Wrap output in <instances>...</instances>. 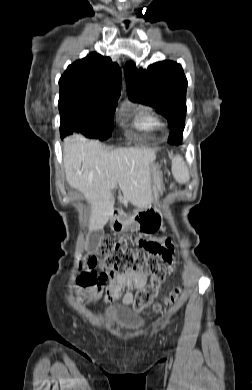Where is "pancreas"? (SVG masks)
<instances>
[{
    "mask_svg": "<svg viewBox=\"0 0 252 390\" xmlns=\"http://www.w3.org/2000/svg\"><path fill=\"white\" fill-rule=\"evenodd\" d=\"M118 205L119 206H122V205L129 206V205H131V202H129V201H125V202L119 201Z\"/></svg>",
    "mask_w": 252,
    "mask_h": 390,
    "instance_id": "pancreas-1",
    "label": "pancreas"
}]
</instances>
